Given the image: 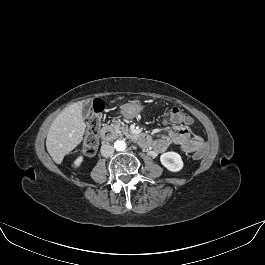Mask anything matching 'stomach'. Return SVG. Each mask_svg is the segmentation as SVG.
I'll return each mask as SVG.
<instances>
[{
    "label": "stomach",
    "instance_id": "stomach-1",
    "mask_svg": "<svg viewBox=\"0 0 265 265\" xmlns=\"http://www.w3.org/2000/svg\"><path fill=\"white\" fill-rule=\"evenodd\" d=\"M143 108L144 106L140 102L126 103L120 107V113L127 119H133Z\"/></svg>",
    "mask_w": 265,
    "mask_h": 265
}]
</instances>
